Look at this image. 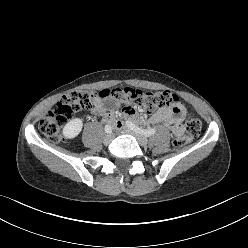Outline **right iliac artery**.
<instances>
[{
  "instance_id": "right-iliac-artery-1",
  "label": "right iliac artery",
  "mask_w": 248,
  "mask_h": 248,
  "mask_svg": "<svg viewBox=\"0 0 248 248\" xmlns=\"http://www.w3.org/2000/svg\"><path fill=\"white\" fill-rule=\"evenodd\" d=\"M105 132L108 133V134H111L112 133V127L110 125H105Z\"/></svg>"
}]
</instances>
